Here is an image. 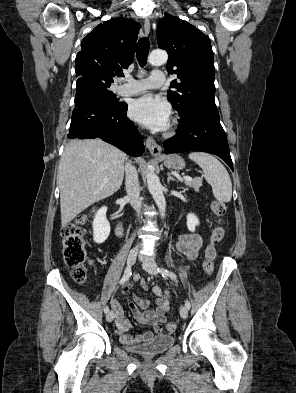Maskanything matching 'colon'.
<instances>
[{
	"mask_svg": "<svg viewBox=\"0 0 296 393\" xmlns=\"http://www.w3.org/2000/svg\"><path fill=\"white\" fill-rule=\"evenodd\" d=\"M211 210L217 218V226L212 230L210 238L212 247L221 242L224 237L223 223L227 213V206L221 201L213 200L211 202ZM86 220V216L82 215L75 221L66 224L61 231L63 258L65 263L72 268L73 278L78 283H83L87 278V271L85 269L87 252L84 239L85 229L83 227ZM203 269L208 275L213 273V260L209 256H205ZM167 328L170 331H174L176 324L170 322Z\"/></svg>",
	"mask_w": 296,
	"mask_h": 393,
	"instance_id": "colon-1",
	"label": "colon"
}]
</instances>
